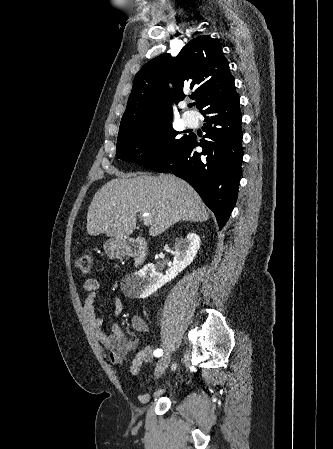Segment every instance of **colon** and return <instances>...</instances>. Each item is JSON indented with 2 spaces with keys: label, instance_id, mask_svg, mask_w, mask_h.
Listing matches in <instances>:
<instances>
[{
  "label": "colon",
  "instance_id": "5ec220e1",
  "mask_svg": "<svg viewBox=\"0 0 333 449\" xmlns=\"http://www.w3.org/2000/svg\"><path fill=\"white\" fill-rule=\"evenodd\" d=\"M93 265V257L90 254H83L75 261V267L82 273H89Z\"/></svg>",
  "mask_w": 333,
  "mask_h": 449
}]
</instances>
